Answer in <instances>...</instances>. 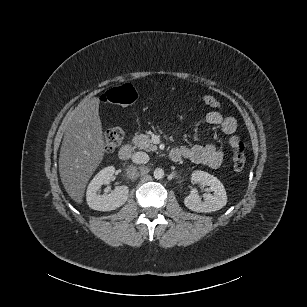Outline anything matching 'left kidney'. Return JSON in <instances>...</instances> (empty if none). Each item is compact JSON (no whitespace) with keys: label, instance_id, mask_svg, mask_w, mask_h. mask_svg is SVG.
<instances>
[{"label":"left kidney","instance_id":"obj_1","mask_svg":"<svg viewBox=\"0 0 307 307\" xmlns=\"http://www.w3.org/2000/svg\"><path fill=\"white\" fill-rule=\"evenodd\" d=\"M192 182L200 186H206L213 191V195H206L205 201L200 202L196 191L186 196L183 200L184 206L196 213L214 212L222 209L227 203V195L222 183L212 175L195 171L192 174Z\"/></svg>","mask_w":307,"mask_h":307}]
</instances>
